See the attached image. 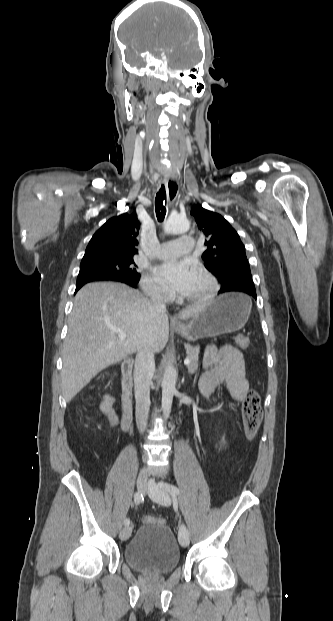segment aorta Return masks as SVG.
<instances>
[{"instance_id": "aorta-1", "label": "aorta", "mask_w": 333, "mask_h": 621, "mask_svg": "<svg viewBox=\"0 0 333 621\" xmlns=\"http://www.w3.org/2000/svg\"><path fill=\"white\" fill-rule=\"evenodd\" d=\"M190 224L186 218L179 215H170L164 223V232L168 234H179L189 230ZM176 369L172 364L166 367L162 380V412L167 418L170 415L173 396L176 391Z\"/></svg>"}]
</instances>
